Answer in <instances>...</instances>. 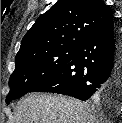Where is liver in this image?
<instances>
[{
	"label": "liver",
	"mask_w": 122,
	"mask_h": 123,
	"mask_svg": "<svg viewBox=\"0 0 122 123\" xmlns=\"http://www.w3.org/2000/svg\"><path fill=\"white\" fill-rule=\"evenodd\" d=\"M100 117L89 102L47 93L29 94L15 109L16 123H99Z\"/></svg>",
	"instance_id": "obj_1"
}]
</instances>
